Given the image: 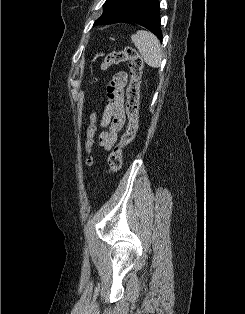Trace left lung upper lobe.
<instances>
[{
  "mask_svg": "<svg viewBox=\"0 0 245 314\" xmlns=\"http://www.w3.org/2000/svg\"><path fill=\"white\" fill-rule=\"evenodd\" d=\"M146 0H106L103 15L96 24L129 22L142 8Z\"/></svg>",
  "mask_w": 245,
  "mask_h": 314,
  "instance_id": "obj_1",
  "label": "left lung upper lobe"
}]
</instances>
